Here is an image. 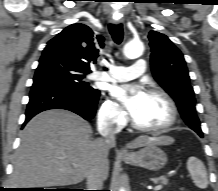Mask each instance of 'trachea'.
Listing matches in <instances>:
<instances>
[{"label":"trachea","instance_id":"1","mask_svg":"<svg viewBox=\"0 0 218 191\" xmlns=\"http://www.w3.org/2000/svg\"><path fill=\"white\" fill-rule=\"evenodd\" d=\"M109 32L115 41V43L120 44L123 40V27L122 24H109Z\"/></svg>","mask_w":218,"mask_h":191}]
</instances>
